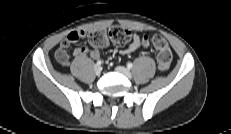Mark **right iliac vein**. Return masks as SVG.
I'll return each instance as SVG.
<instances>
[{
	"instance_id": "right-iliac-vein-1",
	"label": "right iliac vein",
	"mask_w": 231,
	"mask_h": 134,
	"mask_svg": "<svg viewBox=\"0 0 231 134\" xmlns=\"http://www.w3.org/2000/svg\"><path fill=\"white\" fill-rule=\"evenodd\" d=\"M94 72L96 75H99L101 73V67L99 65H95Z\"/></svg>"
}]
</instances>
